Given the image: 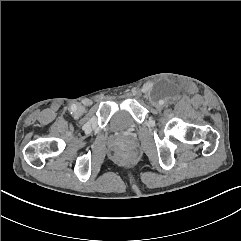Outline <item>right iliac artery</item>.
Listing matches in <instances>:
<instances>
[{"instance_id": "82829eb1", "label": "right iliac artery", "mask_w": 241, "mask_h": 241, "mask_svg": "<svg viewBox=\"0 0 241 241\" xmlns=\"http://www.w3.org/2000/svg\"><path fill=\"white\" fill-rule=\"evenodd\" d=\"M77 110V106L76 105H72L71 107H70V111L73 113V112H75Z\"/></svg>"}]
</instances>
